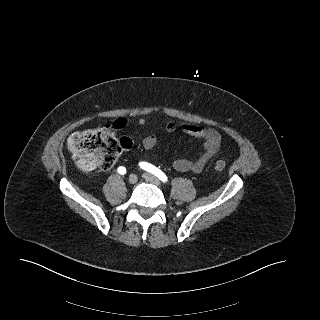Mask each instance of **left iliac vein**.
Listing matches in <instances>:
<instances>
[{
	"instance_id": "1",
	"label": "left iliac vein",
	"mask_w": 320,
	"mask_h": 320,
	"mask_svg": "<svg viewBox=\"0 0 320 320\" xmlns=\"http://www.w3.org/2000/svg\"><path fill=\"white\" fill-rule=\"evenodd\" d=\"M143 178L146 181H148V182H150V183H152V184H154L156 186H160L161 185L159 179L157 177H155L154 175L150 174V173H147V172L144 173L143 174Z\"/></svg>"
}]
</instances>
